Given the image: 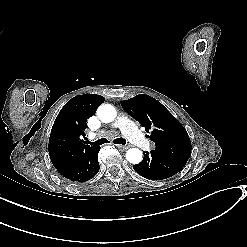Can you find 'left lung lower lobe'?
Masks as SVG:
<instances>
[{
  "instance_id": "0a47b994",
  "label": "left lung lower lobe",
  "mask_w": 247,
  "mask_h": 247,
  "mask_svg": "<svg viewBox=\"0 0 247 247\" xmlns=\"http://www.w3.org/2000/svg\"><path fill=\"white\" fill-rule=\"evenodd\" d=\"M143 153V161L133 165V169L150 180L169 178L182 170L186 164L160 151L152 150L150 153Z\"/></svg>"
}]
</instances>
